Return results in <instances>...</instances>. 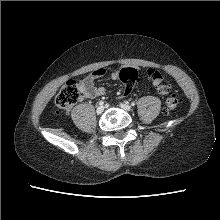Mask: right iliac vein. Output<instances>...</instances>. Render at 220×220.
Returning a JSON list of instances; mask_svg holds the SVG:
<instances>
[{"mask_svg":"<svg viewBox=\"0 0 220 220\" xmlns=\"http://www.w3.org/2000/svg\"><path fill=\"white\" fill-rule=\"evenodd\" d=\"M103 111H104V106H102V105L98 106L96 109L97 114H101V113H103Z\"/></svg>","mask_w":220,"mask_h":220,"instance_id":"1","label":"right iliac vein"}]
</instances>
